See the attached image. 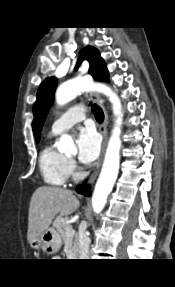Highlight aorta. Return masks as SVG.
I'll return each mask as SVG.
<instances>
[{
	"instance_id": "1",
	"label": "aorta",
	"mask_w": 175,
	"mask_h": 287,
	"mask_svg": "<svg viewBox=\"0 0 175 287\" xmlns=\"http://www.w3.org/2000/svg\"><path fill=\"white\" fill-rule=\"evenodd\" d=\"M97 91L109 97L112 104L113 113L116 116L115 125L108 142L101 173L97 180L94 193L92 196V207L95 213H100L105 207L107 197L112 191L114 183L118 176L120 165L121 149V124H122V105L117 94L108 86L98 84L92 86ZM82 79H73L62 84L56 91V102L58 105H65L73 100L81 91L90 89ZM58 151L61 153H75L76 147L71 136L64 134L57 142Z\"/></svg>"
}]
</instances>
